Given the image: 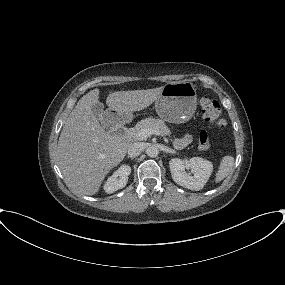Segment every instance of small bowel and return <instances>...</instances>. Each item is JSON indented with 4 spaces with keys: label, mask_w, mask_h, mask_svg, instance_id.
Segmentation results:
<instances>
[{
    "label": "small bowel",
    "mask_w": 285,
    "mask_h": 285,
    "mask_svg": "<svg viewBox=\"0 0 285 285\" xmlns=\"http://www.w3.org/2000/svg\"><path fill=\"white\" fill-rule=\"evenodd\" d=\"M192 141V137L191 135H185L183 137H180V138H176L174 140V145L176 148H184L186 147L187 145H189Z\"/></svg>",
    "instance_id": "c3829d8e"
}]
</instances>
